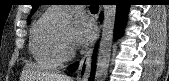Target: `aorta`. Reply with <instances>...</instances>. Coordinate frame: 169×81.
<instances>
[{"instance_id":"obj_1","label":"aorta","mask_w":169,"mask_h":81,"mask_svg":"<svg viewBox=\"0 0 169 81\" xmlns=\"http://www.w3.org/2000/svg\"><path fill=\"white\" fill-rule=\"evenodd\" d=\"M116 9V5L103 6L104 20L95 73L96 81H105L107 76L113 46ZM59 24L62 27H70L73 24L72 15L68 13L60 15Z\"/></svg>"}]
</instances>
